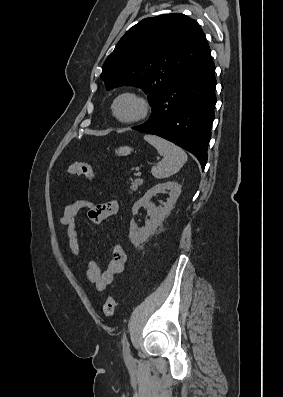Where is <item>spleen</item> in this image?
I'll use <instances>...</instances> for the list:
<instances>
[{
    "instance_id": "spleen-1",
    "label": "spleen",
    "mask_w": 283,
    "mask_h": 397,
    "mask_svg": "<svg viewBox=\"0 0 283 397\" xmlns=\"http://www.w3.org/2000/svg\"><path fill=\"white\" fill-rule=\"evenodd\" d=\"M144 140L154 146L163 159L152 167V175L157 179L167 178L177 173L187 161V154L175 144L154 135H145Z\"/></svg>"
}]
</instances>
